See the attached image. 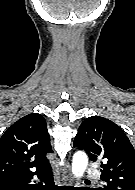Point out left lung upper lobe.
<instances>
[{"mask_svg": "<svg viewBox=\"0 0 135 190\" xmlns=\"http://www.w3.org/2000/svg\"><path fill=\"white\" fill-rule=\"evenodd\" d=\"M74 147L82 148L93 162H101L100 190H135V150L121 128L100 116L83 121Z\"/></svg>", "mask_w": 135, "mask_h": 190, "instance_id": "1", "label": "left lung upper lobe"}]
</instances>
